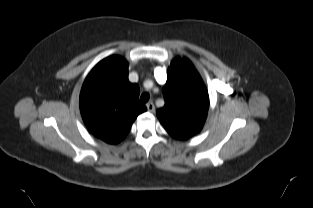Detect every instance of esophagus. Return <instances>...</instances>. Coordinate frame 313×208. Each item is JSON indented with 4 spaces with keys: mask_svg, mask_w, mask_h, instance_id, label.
<instances>
[{
    "mask_svg": "<svg viewBox=\"0 0 313 208\" xmlns=\"http://www.w3.org/2000/svg\"><path fill=\"white\" fill-rule=\"evenodd\" d=\"M147 109L149 112L151 113H154L155 112V106L152 102H149L147 105H146Z\"/></svg>",
    "mask_w": 313,
    "mask_h": 208,
    "instance_id": "esophagus-1",
    "label": "esophagus"
}]
</instances>
